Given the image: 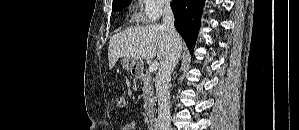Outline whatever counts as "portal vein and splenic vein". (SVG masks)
Returning a JSON list of instances; mask_svg holds the SVG:
<instances>
[{
    "label": "portal vein and splenic vein",
    "mask_w": 299,
    "mask_h": 130,
    "mask_svg": "<svg viewBox=\"0 0 299 130\" xmlns=\"http://www.w3.org/2000/svg\"><path fill=\"white\" fill-rule=\"evenodd\" d=\"M159 67V63L158 62H154L149 66V72H154L158 69Z\"/></svg>",
    "instance_id": "18ae733b"
}]
</instances>
